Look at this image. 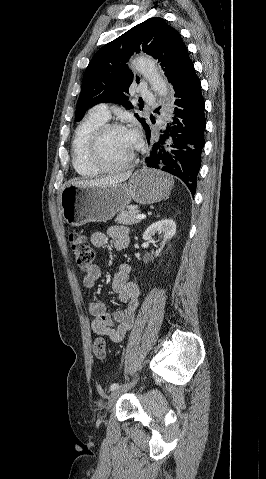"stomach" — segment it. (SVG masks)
<instances>
[{"label":"stomach","mask_w":266,"mask_h":479,"mask_svg":"<svg viewBox=\"0 0 266 479\" xmlns=\"http://www.w3.org/2000/svg\"><path fill=\"white\" fill-rule=\"evenodd\" d=\"M172 186L173 180L168 174L147 168L136 171L124 184L85 187L70 184L61 192L62 216L71 226L106 222L132 200L140 204L163 200Z\"/></svg>","instance_id":"stomach-1"}]
</instances>
